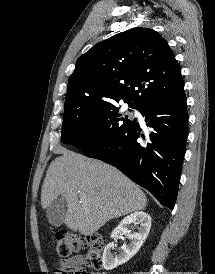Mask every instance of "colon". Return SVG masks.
I'll list each match as a JSON object with an SVG mask.
<instances>
[{"label": "colon", "instance_id": "5ec220e1", "mask_svg": "<svg viewBox=\"0 0 215 274\" xmlns=\"http://www.w3.org/2000/svg\"><path fill=\"white\" fill-rule=\"evenodd\" d=\"M56 250L61 257H68L72 253L87 250L86 264L93 270H100L103 266V250L105 238L97 233L89 235H74L66 231H60L55 236ZM78 274H95L86 270Z\"/></svg>", "mask_w": 215, "mask_h": 274}]
</instances>
